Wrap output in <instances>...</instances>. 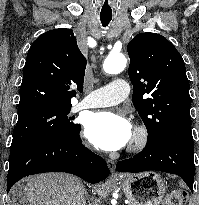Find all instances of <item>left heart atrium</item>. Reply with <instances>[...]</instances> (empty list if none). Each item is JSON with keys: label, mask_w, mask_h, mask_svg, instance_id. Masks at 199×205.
I'll use <instances>...</instances> for the list:
<instances>
[{"label": "left heart atrium", "mask_w": 199, "mask_h": 205, "mask_svg": "<svg viewBox=\"0 0 199 205\" xmlns=\"http://www.w3.org/2000/svg\"><path fill=\"white\" fill-rule=\"evenodd\" d=\"M85 136L106 151H115L125 146L132 138V126L121 114L98 112L92 114L85 127Z\"/></svg>", "instance_id": "left-heart-atrium-1"}]
</instances>
